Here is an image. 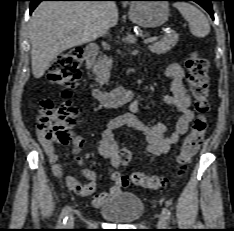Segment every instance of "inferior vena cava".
<instances>
[{
	"mask_svg": "<svg viewBox=\"0 0 234 231\" xmlns=\"http://www.w3.org/2000/svg\"><path fill=\"white\" fill-rule=\"evenodd\" d=\"M109 29H110V26L108 25V23L106 21H102L101 22V31H102L103 35L109 34Z\"/></svg>",
	"mask_w": 234,
	"mask_h": 231,
	"instance_id": "obj_1",
	"label": "inferior vena cava"
}]
</instances>
